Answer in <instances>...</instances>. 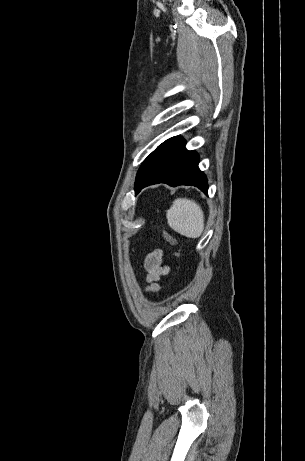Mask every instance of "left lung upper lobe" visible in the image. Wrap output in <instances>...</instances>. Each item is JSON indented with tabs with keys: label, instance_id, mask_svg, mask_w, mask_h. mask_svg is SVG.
I'll return each instance as SVG.
<instances>
[{
	"label": "left lung upper lobe",
	"instance_id": "1",
	"mask_svg": "<svg viewBox=\"0 0 305 461\" xmlns=\"http://www.w3.org/2000/svg\"><path fill=\"white\" fill-rule=\"evenodd\" d=\"M151 165H152V154H150L146 158V160L143 162V164L139 168L138 173H137V177H136V183L148 173V171L151 168Z\"/></svg>",
	"mask_w": 305,
	"mask_h": 461
}]
</instances>
